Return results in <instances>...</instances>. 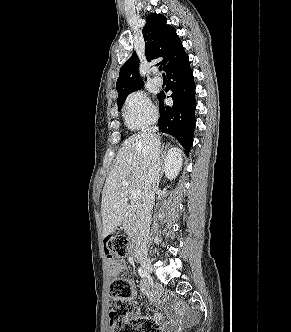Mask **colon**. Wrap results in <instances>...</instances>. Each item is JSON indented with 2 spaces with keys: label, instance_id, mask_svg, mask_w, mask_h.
<instances>
[{
  "label": "colon",
  "instance_id": "colon-1",
  "mask_svg": "<svg viewBox=\"0 0 291 332\" xmlns=\"http://www.w3.org/2000/svg\"><path fill=\"white\" fill-rule=\"evenodd\" d=\"M110 258L124 257L130 244L123 234L109 235L104 240ZM132 287L124 279L116 278L110 285L109 320L111 332H160L159 324L152 318H129L133 311Z\"/></svg>",
  "mask_w": 291,
  "mask_h": 332
}]
</instances>
